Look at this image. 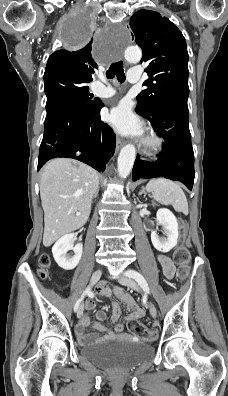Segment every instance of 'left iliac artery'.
I'll return each instance as SVG.
<instances>
[{
  "mask_svg": "<svg viewBox=\"0 0 228 396\" xmlns=\"http://www.w3.org/2000/svg\"><path fill=\"white\" fill-rule=\"evenodd\" d=\"M125 274L128 277L133 278L141 286V288L145 291V293H150L148 283L145 280V278L142 276V274H140L139 272H137L135 270H129Z\"/></svg>",
  "mask_w": 228,
  "mask_h": 396,
  "instance_id": "1",
  "label": "left iliac artery"
}]
</instances>
